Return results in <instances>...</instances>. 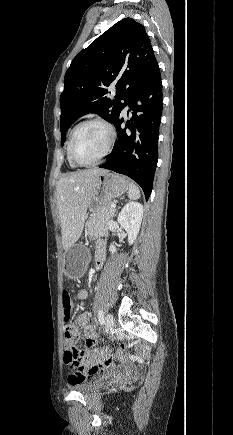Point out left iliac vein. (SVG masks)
I'll use <instances>...</instances> for the list:
<instances>
[{
    "label": "left iliac vein",
    "mask_w": 233,
    "mask_h": 435,
    "mask_svg": "<svg viewBox=\"0 0 233 435\" xmlns=\"http://www.w3.org/2000/svg\"><path fill=\"white\" fill-rule=\"evenodd\" d=\"M114 328V317L111 314H108L105 317V331L109 333Z\"/></svg>",
    "instance_id": "obj_1"
}]
</instances>
